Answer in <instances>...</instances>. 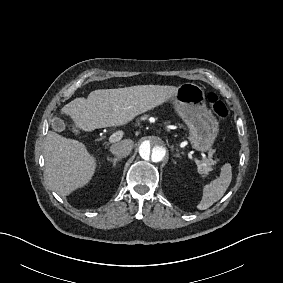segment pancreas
I'll return each mask as SVG.
<instances>
[{
    "label": "pancreas",
    "mask_w": 283,
    "mask_h": 283,
    "mask_svg": "<svg viewBox=\"0 0 283 283\" xmlns=\"http://www.w3.org/2000/svg\"><path fill=\"white\" fill-rule=\"evenodd\" d=\"M216 163L217 160H213L212 158L206 159L203 163L198 164V172L203 176H206L209 172L212 171L211 166Z\"/></svg>",
    "instance_id": "cf45deb5"
}]
</instances>
